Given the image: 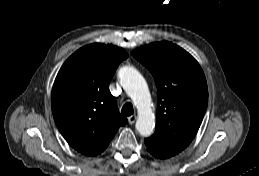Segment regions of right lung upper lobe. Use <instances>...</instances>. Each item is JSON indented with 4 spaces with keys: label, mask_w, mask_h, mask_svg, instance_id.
Returning <instances> with one entry per match:
<instances>
[{
    "label": "right lung upper lobe",
    "mask_w": 259,
    "mask_h": 176,
    "mask_svg": "<svg viewBox=\"0 0 259 176\" xmlns=\"http://www.w3.org/2000/svg\"><path fill=\"white\" fill-rule=\"evenodd\" d=\"M127 57L122 48L93 43L71 55L57 74L51 96L53 117L69 145L83 155L103 152L128 122L109 91L116 68Z\"/></svg>",
    "instance_id": "obj_1"
}]
</instances>
